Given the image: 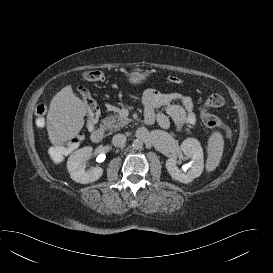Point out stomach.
Returning a JSON list of instances; mask_svg holds the SVG:
<instances>
[{
  "instance_id": "1",
  "label": "stomach",
  "mask_w": 273,
  "mask_h": 273,
  "mask_svg": "<svg viewBox=\"0 0 273 273\" xmlns=\"http://www.w3.org/2000/svg\"><path fill=\"white\" fill-rule=\"evenodd\" d=\"M147 76V73L144 71L140 69H134L127 75V79L130 84L139 85L147 79Z\"/></svg>"
}]
</instances>
